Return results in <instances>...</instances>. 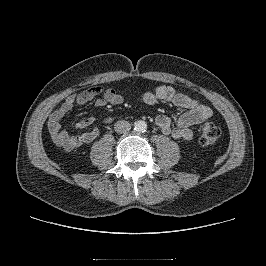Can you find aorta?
<instances>
[{
    "label": "aorta",
    "mask_w": 266,
    "mask_h": 266,
    "mask_svg": "<svg viewBox=\"0 0 266 266\" xmlns=\"http://www.w3.org/2000/svg\"><path fill=\"white\" fill-rule=\"evenodd\" d=\"M147 129V123L143 120H138L134 123V130L136 132H144Z\"/></svg>",
    "instance_id": "762f6f07"
}]
</instances>
